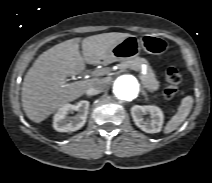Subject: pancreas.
I'll return each instance as SVG.
<instances>
[{
    "instance_id": "cf45deb5",
    "label": "pancreas",
    "mask_w": 212,
    "mask_h": 183,
    "mask_svg": "<svg viewBox=\"0 0 212 183\" xmlns=\"http://www.w3.org/2000/svg\"><path fill=\"white\" fill-rule=\"evenodd\" d=\"M143 64H147V60L141 57H134L129 60H125L121 63L122 68H129L134 71L141 72V67ZM144 88H146L149 92H154L159 89V81L155 78V74L150 66L147 67V73L143 75L142 73L139 76Z\"/></svg>"
}]
</instances>
